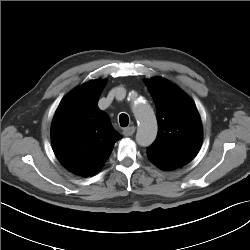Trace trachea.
I'll return each instance as SVG.
<instances>
[{"instance_id": "1", "label": "trachea", "mask_w": 250, "mask_h": 250, "mask_svg": "<svg viewBox=\"0 0 250 250\" xmlns=\"http://www.w3.org/2000/svg\"><path fill=\"white\" fill-rule=\"evenodd\" d=\"M119 122L122 127H126L129 124V117L127 114H121L119 116Z\"/></svg>"}]
</instances>
